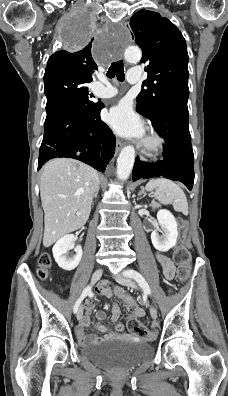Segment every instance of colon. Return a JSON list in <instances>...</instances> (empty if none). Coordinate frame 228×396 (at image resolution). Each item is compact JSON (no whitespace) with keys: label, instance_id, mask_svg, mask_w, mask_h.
Here are the masks:
<instances>
[{"label":"colon","instance_id":"obj_1","mask_svg":"<svg viewBox=\"0 0 228 396\" xmlns=\"http://www.w3.org/2000/svg\"><path fill=\"white\" fill-rule=\"evenodd\" d=\"M178 243L174 250V261L178 266L179 274L182 279H186L190 273L191 255L186 245V224L183 220L178 223ZM51 267V258L48 254L44 253L39 258V265L37 274L41 279H46L49 275ZM128 329L131 333L145 339L152 340L155 338V333L148 330L138 320L132 319L128 321Z\"/></svg>","mask_w":228,"mask_h":396}]
</instances>
